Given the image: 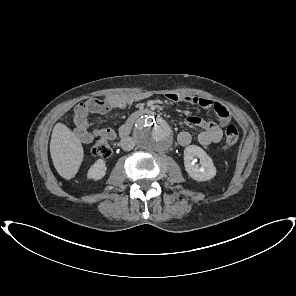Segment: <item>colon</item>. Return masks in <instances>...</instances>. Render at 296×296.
Listing matches in <instances>:
<instances>
[{
  "instance_id": "1",
  "label": "colon",
  "mask_w": 296,
  "mask_h": 296,
  "mask_svg": "<svg viewBox=\"0 0 296 296\" xmlns=\"http://www.w3.org/2000/svg\"><path fill=\"white\" fill-rule=\"evenodd\" d=\"M82 112V110H81ZM239 138V131L236 125L230 124L225 130V143L224 148L227 149L234 145ZM91 154L94 157L107 159L112 155V148L106 138H100L95 142L91 148Z\"/></svg>"
}]
</instances>
